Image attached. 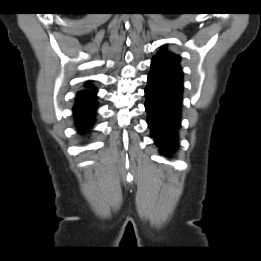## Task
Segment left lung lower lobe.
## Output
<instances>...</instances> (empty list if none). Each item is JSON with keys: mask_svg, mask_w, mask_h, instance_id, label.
<instances>
[{"mask_svg": "<svg viewBox=\"0 0 261 261\" xmlns=\"http://www.w3.org/2000/svg\"><path fill=\"white\" fill-rule=\"evenodd\" d=\"M182 93L181 68L152 60L145 89V108L151 137L162 154L173 152L177 145Z\"/></svg>", "mask_w": 261, "mask_h": 261, "instance_id": "1", "label": "left lung lower lobe"}]
</instances>
